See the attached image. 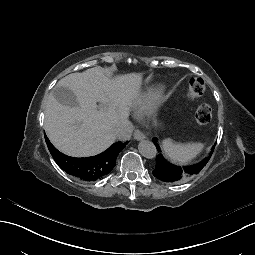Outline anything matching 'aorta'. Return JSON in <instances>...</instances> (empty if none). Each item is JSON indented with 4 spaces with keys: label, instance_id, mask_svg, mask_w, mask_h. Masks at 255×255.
Wrapping results in <instances>:
<instances>
[{
    "label": "aorta",
    "instance_id": "aorta-1",
    "mask_svg": "<svg viewBox=\"0 0 255 255\" xmlns=\"http://www.w3.org/2000/svg\"><path fill=\"white\" fill-rule=\"evenodd\" d=\"M138 149L140 154L145 158L153 159L156 157L157 154L156 147L149 140H142L138 145Z\"/></svg>",
    "mask_w": 255,
    "mask_h": 255
}]
</instances>
